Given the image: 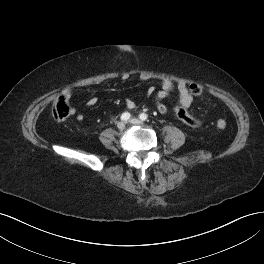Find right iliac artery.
<instances>
[{
    "label": "right iliac artery",
    "mask_w": 264,
    "mask_h": 264,
    "mask_svg": "<svg viewBox=\"0 0 264 264\" xmlns=\"http://www.w3.org/2000/svg\"><path fill=\"white\" fill-rule=\"evenodd\" d=\"M130 117H131L130 113L125 112V113H123V114L121 115V120H122V121H127V120L130 119Z\"/></svg>",
    "instance_id": "obj_1"
}]
</instances>
